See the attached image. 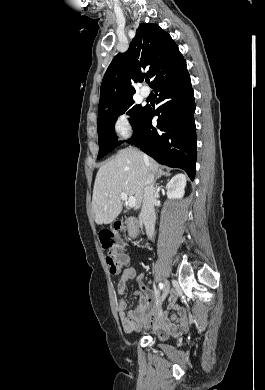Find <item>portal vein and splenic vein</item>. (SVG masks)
Listing matches in <instances>:
<instances>
[{
  "mask_svg": "<svg viewBox=\"0 0 265 390\" xmlns=\"http://www.w3.org/2000/svg\"><path fill=\"white\" fill-rule=\"evenodd\" d=\"M120 197L122 200L126 201L129 207H135L137 204L135 197L128 196L125 192H121Z\"/></svg>",
  "mask_w": 265,
  "mask_h": 390,
  "instance_id": "obj_1",
  "label": "portal vein and splenic vein"
}]
</instances>
